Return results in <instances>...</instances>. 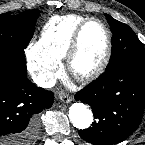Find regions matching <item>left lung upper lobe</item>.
<instances>
[{
  "label": "left lung upper lobe",
  "mask_w": 145,
  "mask_h": 145,
  "mask_svg": "<svg viewBox=\"0 0 145 145\" xmlns=\"http://www.w3.org/2000/svg\"><path fill=\"white\" fill-rule=\"evenodd\" d=\"M106 18L113 32L112 57L106 71L126 65L145 69V49L134 31L108 14H106Z\"/></svg>",
  "instance_id": "1"
}]
</instances>
